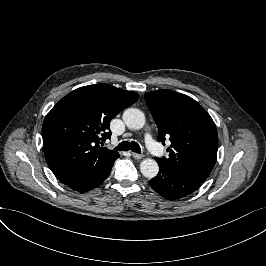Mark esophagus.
Returning <instances> with one entry per match:
<instances>
[{
	"label": "esophagus",
	"instance_id": "obj_1",
	"mask_svg": "<svg viewBox=\"0 0 266 266\" xmlns=\"http://www.w3.org/2000/svg\"><path fill=\"white\" fill-rule=\"evenodd\" d=\"M132 156L135 159H142L143 158V155L142 154H138V153H135V152H132Z\"/></svg>",
	"mask_w": 266,
	"mask_h": 266
}]
</instances>
